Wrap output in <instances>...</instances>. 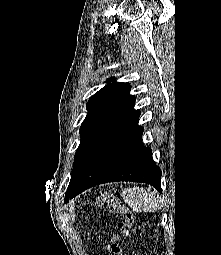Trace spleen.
<instances>
[{
  "label": "spleen",
  "mask_w": 221,
  "mask_h": 255,
  "mask_svg": "<svg viewBox=\"0 0 221 255\" xmlns=\"http://www.w3.org/2000/svg\"><path fill=\"white\" fill-rule=\"evenodd\" d=\"M122 198L138 213L156 212L162 207L161 198L157 193L144 188H126L122 191Z\"/></svg>",
  "instance_id": "spleen-1"
}]
</instances>
